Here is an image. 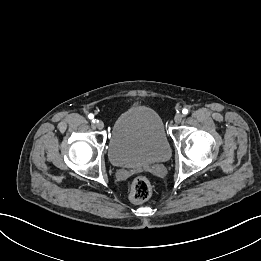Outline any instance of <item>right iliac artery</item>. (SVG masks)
<instances>
[{
	"label": "right iliac artery",
	"instance_id": "82829eb1",
	"mask_svg": "<svg viewBox=\"0 0 261 261\" xmlns=\"http://www.w3.org/2000/svg\"><path fill=\"white\" fill-rule=\"evenodd\" d=\"M88 118H89L90 120H92L93 123L96 122V119L94 120V115H93L92 113H90V114L88 115Z\"/></svg>",
	"mask_w": 261,
	"mask_h": 261
}]
</instances>
